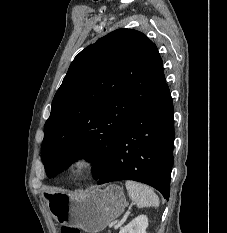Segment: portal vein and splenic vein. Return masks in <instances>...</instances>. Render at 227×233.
<instances>
[{
  "label": "portal vein and splenic vein",
  "instance_id": "portal-vein-and-splenic-vein-1",
  "mask_svg": "<svg viewBox=\"0 0 227 233\" xmlns=\"http://www.w3.org/2000/svg\"><path fill=\"white\" fill-rule=\"evenodd\" d=\"M128 216H129V212H126L124 216L117 221V224L114 225V228L117 229L121 227L126 222Z\"/></svg>",
  "mask_w": 227,
  "mask_h": 233
}]
</instances>
